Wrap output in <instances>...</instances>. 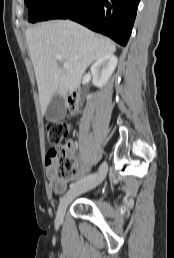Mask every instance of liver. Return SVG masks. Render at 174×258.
<instances>
[{
	"label": "liver",
	"instance_id": "1",
	"mask_svg": "<svg viewBox=\"0 0 174 258\" xmlns=\"http://www.w3.org/2000/svg\"><path fill=\"white\" fill-rule=\"evenodd\" d=\"M25 37L34 66L41 110L46 112L54 95L65 96L78 88L87 67L112 55L115 44L69 20L46 22L28 28ZM61 56V60L55 58ZM59 61L70 65L62 69Z\"/></svg>",
	"mask_w": 174,
	"mask_h": 258
}]
</instances>
